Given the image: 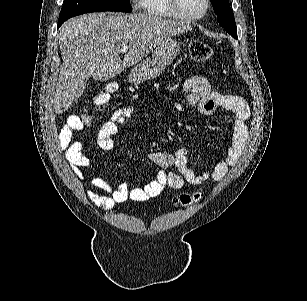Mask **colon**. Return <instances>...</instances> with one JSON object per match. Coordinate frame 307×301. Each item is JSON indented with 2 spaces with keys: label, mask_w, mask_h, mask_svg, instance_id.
Wrapping results in <instances>:
<instances>
[{
  "label": "colon",
  "mask_w": 307,
  "mask_h": 301,
  "mask_svg": "<svg viewBox=\"0 0 307 301\" xmlns=\"http://www.w3.org/2000/svg\"><path fill=\"white\" fill-rule=\"evenodd\" d=\"M189 53L193 60L197 62H203L210 59L213 55L212 47L200 40H193L189 44ZM117 90L116 83H109L104 86L103 90L96 93L93 97L92 103L97 106H103L107 104L110 100V96ZM81 123L83 127H89L93 124V117L89 113H84L81 118ZM201 197L200 193L194 194H181L175 198L176 205H188L196 202Z\"/></svg>",
  "instance_id": "colon-1"
}]
</instances>
